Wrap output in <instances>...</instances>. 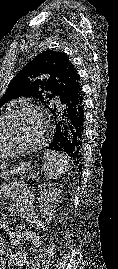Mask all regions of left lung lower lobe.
<instances>
[{
  "label": "left lung lower lobe",
  "mask_w": 118,
  "mask_h": 269,
  "mask_svg": "<svg viewBox=\"0 0 118 269\" xmlns=\"http://www.w3.org/2000/svg\"><path fill=\"white\" fill-rule=\"evenodd\" d=\"M55 119L53 140L47 147L68 155L81 167L84 139V103L81 89L60 99L51 111Z\"/></svg>",
  "instance_id": "1"
}]
</instances>
